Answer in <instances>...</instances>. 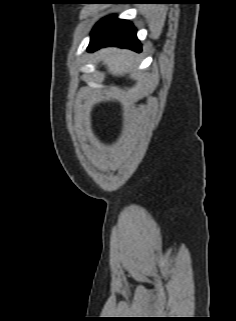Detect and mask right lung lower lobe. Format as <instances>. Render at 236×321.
I'll list each match as a JSON object with an SVG mask.
<instances>
[{
	"instance_id": "98d812e1",
	"label": "right lung lower lobe",
	"mask_w": 236,
	"mask_h": 321,
	"mask_svg": "<svg viewBox=\"0 0 236 321\" xmlns=\"http://www.w3.org/2000/svg\"><path fill=\"white\" fill-rule=\"evenodd\" d=\"M116 46L141 51V44L136 37V29L126 20L108 16L94 27L88 46L90 52L101 47Z\"/></svg>"
}]
</instances>
